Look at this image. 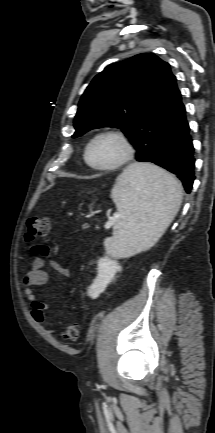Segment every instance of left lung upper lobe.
Returning <instances> with one entry per match:
<instances>
[{
    "label": "left lung upper lobe",
    "instance_id": "1",
    "mask_svg": "<svg viewBox=\"0 0 215 433\" xmlns=\"http://www.w3.org/2000/svg\"><path fill=\"white\" fill-rule=\"evenodd\" d=\"M179 96L169 64L153 53L111 64L82 95L72 137L117 127L137 150V161L153 162Z\"/></svg>",
    "mask_w": 215,
    "mask_h": 433
}]
</instances>
